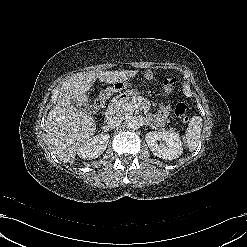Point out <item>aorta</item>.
<instances>
[{
  "label": "aorta",
  "mask_w": 247,
  "mask_h": 247,
  "mask_svg": "<svg viewBox=\"0 0 247 247\" xmlns=\"http://www.w3.org/2000/svg\"><path fill=\"white\" fill-rule=\"evenodd\" d=\"M140 127L139 122L136 119L129 120L127 123V128L131 131H136Z\"/></svg>",
  "instance_id": "aorta-1"
}]
</instances>
